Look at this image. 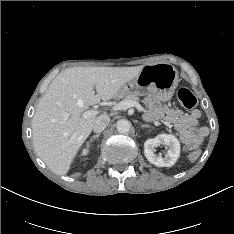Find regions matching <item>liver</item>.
<instances>
[{
    "label": "liver",
    "mask_w": 234,
    "mask_h": 234,
    "mask_svg": "<svg viewBox=\"0 0 234 234\" xmlns=\"http://www.w3.org/2000/svg\"><path fill=\"white\" fill-rule=\"evenodd\" d=\"M142 68L73 67L54 78L32 120L35 151L52 172L65 175L90 135L97 117L84 118L83 113L115 97Z\"/></svg>",
    "instance_id": "6515ba94"
}]
</instances>
